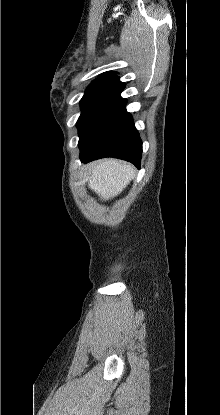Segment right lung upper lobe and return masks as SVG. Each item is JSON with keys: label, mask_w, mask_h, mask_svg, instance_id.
Masks as SVG:
<instances>
[{"label": "right lung upper lobe", "mask_w": 220, "mask_h": 415, "mask_svg": "<svg viewBox=\"0 0 220 415\" xmlns=\"http://www.w3.org/2000/svg\"><path fill=\"white\" fill-rule=\"evenodd\" d=\"M115 72H106L101 74L100 78H97L95 81H101V80H115V81H119V77L114 75Z\"/></svg>", "instance_id": "obj_1"}]
</instances>
